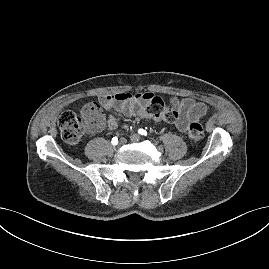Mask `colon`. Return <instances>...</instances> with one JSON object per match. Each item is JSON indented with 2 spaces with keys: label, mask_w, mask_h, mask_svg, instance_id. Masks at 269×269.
Segmentation results:
<instances>
[{
  "label": "colon",
  "mask_w": 269,
  "mask_h": 269,
  "mask_svg": "<svg viewBox=\"0 0 269 269\" xmlns=\"http://www.w3.org/2000/svg\"><path fill=\"white\" fill-rule=\"evenodd\" d=\"M142 118L172 121L176 111L171 104H168L160 96H153L141 110ZM102 113L99 104L91 102L86 104L79 112L64 111L59 115L58 126L61 137L68 143L77 142L86 131L97 130L102 122ZM203 127L193 122L188 129V137L194 143L203 138Z\"/></svg>",
  "instance_id": "5ec220e1"
}]
</instances>
